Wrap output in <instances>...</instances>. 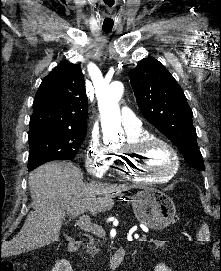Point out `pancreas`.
<instances>
[{
    "instance_id": "1",
    "label": "pancreas",
    "mask_w": 221,
    "mask_h": 271,
    "mask_svg": "<svg viewBox=\"0 0 221 271\" xmlns=\"http://www.w3.org/2000/svg\"><path fill=\"white\" fill-rule=\"evenodd\" d=\"M146 244H149L151 247H169V242L167 239H146ZM99 249L96 247L94 241L88 243L86 253H90L94 257L95 253H98Z\"/></svg>"
}]
</instances>
